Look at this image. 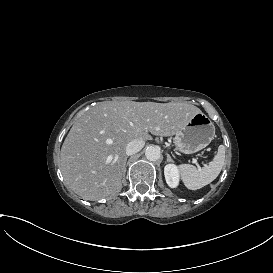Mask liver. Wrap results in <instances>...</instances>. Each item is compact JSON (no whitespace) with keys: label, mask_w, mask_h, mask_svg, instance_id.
<instances>
[{"label":"liver","mask_w":273,"mask_h":273,"mask_svg":"<svg viewBox=\"0 0 273 273\" xmlns=\"http://www.w3.org/2000/svg\"><path fill=\"white\" fill-rule=\"evenodd\" d=\"M202 111L188 103L104 102L72 126L61 148V171L68 186L85 200L121 189L126 147L134 139L171 136Z\"/></svg>","instance_id":"liver-1"}]
</instances>
